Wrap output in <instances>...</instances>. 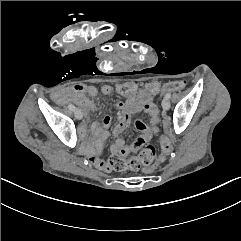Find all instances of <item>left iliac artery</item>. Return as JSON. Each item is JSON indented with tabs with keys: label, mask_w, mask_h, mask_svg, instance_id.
Listing matches in <instances>:
<instances>
[{
	"label": "left iliac artery",
	"mask_w": 241,
	"mask_h": 241,
	"mask_svg": "<svg viewBox=\"0 0 241 241\" xmlns=\"http://www.w3.org/2000/svg\"><path fill=\"white\" fill-rule=\"evenodd\" d=\"M170 97H171V93H167V94L165 95V98H166V99H170Z\"/></svg>",
	"instance_id": "obj_1"
}]
</instances>
